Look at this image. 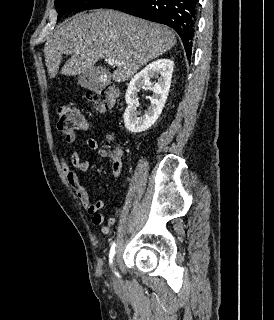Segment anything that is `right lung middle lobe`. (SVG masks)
I'll return each instance as SVG.
<instances>
[{
	"label": "right lung middle lobe",
	"instance_id": "right-lung-middle-lobe-1",
	"mask_svg": "<svg viewBox=\"0 0 274 320\" xmlns=\"http://www.w3.org/2000/svg\"><path fill=\"white\" fill-rule=\"evenodd\" d=\"M111 0H55L58 20L68 11L102 8Z\"/></svg>",
	"mask_w": 274,
	"mask_h": 320
}]
</instances>
